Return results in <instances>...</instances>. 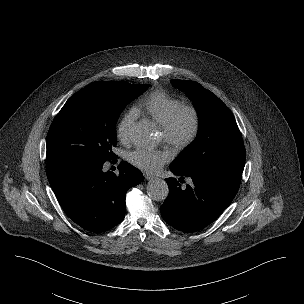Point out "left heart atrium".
<instances>
[{"label":"left heart atrium","instance_id":"39dd6f15","mask_svg":"<svg viewBox=\"0 0 304 304\" xmlns=\"http://www.w3.org/2000/svg\"><path fill=\"white\" fill-rule=\"evenodd\" d=\"M172 153L169 150H146L136 149L128 154V161L135 167L147 171H157L167 161L170 160Z\"/></svg>","mask_w":304,"mask_h":304}]
</instances>
